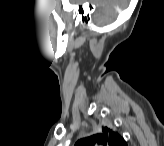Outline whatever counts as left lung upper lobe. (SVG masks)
Returning <instances> with one entry per match:
<instances>
[{"mask_svg": "<svg viewBox=\"0 0 164 146\" xmlns=\"http://www.w3.org/2000/svg\"><path fill=\"white\" fill-rule=\"evenodd\" d=\"M96 141L98 144L126 146V142L123 137L117 131L108 129L107 127L103 128L102 131L96 135L78 140L75 146H92Z\"/></svg>", "mask_w": 164, "mask_h": 146, "instance_id": "5c2ea615", "label": "left lung upper lobe"}]
</instances>
